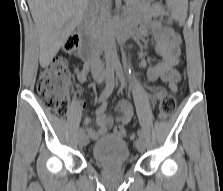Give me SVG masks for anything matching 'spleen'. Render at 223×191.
Here are the masks:
<instances>
[{"label":"spleen","mask_w":223,"mask_h":191,"mask_svg":"<svg viewBox=\"0 0 223 191\" xmlns=\"http://www.w3.org/2000/svg\"><path fill=\"white\" fill-rule=\"evenodd\" d=\"M172 10V16L180 22L185 21L188 11L187 0H167Z\"/></svg>","instance_id":"obj_1"}]
</instances>
